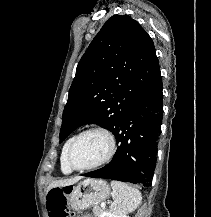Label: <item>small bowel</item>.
<instances>
[{
  "label": "small bowel",
  "mask_w": 211,
  "mask_h": 217,
  "mask_svg": "<svg viewBox=\"0 0 211 217\" xmlns=\"http://www.w3.org/2000/svg\"><path fill=\"white\" fill-rule=\"evenodd\" d=\"M83 217H90V216H88V215H85V216H83Z\"/></svg>",
  "instance_id": "obj_1"
}]
</instances>
